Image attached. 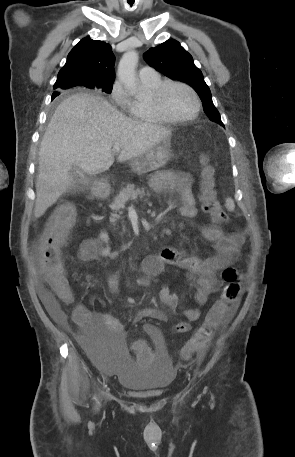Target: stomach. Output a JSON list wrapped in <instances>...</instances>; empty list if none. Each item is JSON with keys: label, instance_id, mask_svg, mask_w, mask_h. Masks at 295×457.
<instances>
[{"label": "stomach", "instance_id": "0dacf381", "mask_svg": "<svg viewBox=\"0 0 295 457\" xmlns=\"http://www.w3.org/2000/svg\"><path fill=\"white\" fill-rule=\"evenodd\" d=\"M171 140L170 138L161 141L152 149L135 157L131 161L132 171L141 175L147 172L156 170L165 165L172 158ZM109 188L108 183L102 182L94 185V189L98 192H105Z\"/></svg>", "mask_w": 295, "mask_h": 457}]
</instances>
